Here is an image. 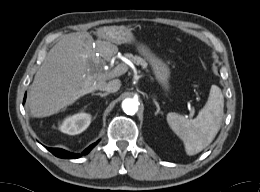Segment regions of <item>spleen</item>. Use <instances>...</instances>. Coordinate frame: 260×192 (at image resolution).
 Here are the masks:
<instances>
[{"label": "spleen", "instance_id": "obj_1", "mask_svg": "<svg viewBox=\"0 0 260 192\" xmlns=\"http://www.w3.org/2000/svg\"><path fill=\"white\" fill-rule=\"evenodd\" d=\"M223 108L221 89L212 85L208 100L195 119L173 112L167 114L168 125L183 141L187 155L201 152L213 141L222 124Z\"/></svg>", "mask_w": 260, "mask_h": 192}]
</instances>
